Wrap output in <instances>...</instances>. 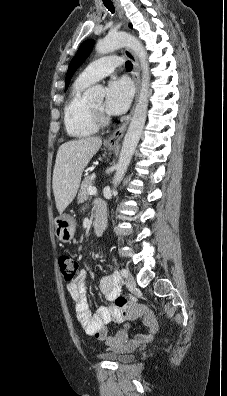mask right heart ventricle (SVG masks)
Wrapping results in <instances>:
<instances>
[{
	"mask_svg": "<svg viewBox=\"0 0 227 396\" xmlns=\"http://www.w3.org/2000/svg\"><path fill=\"white\" fill-rule=\"evenodd\" d=\"M90 85L78 78L73 84L64 106V125L69 136L83 138L97 132L99 125L94 119L90 104L83 92Z\"/></svg>",
	"mask_w": 227,
	"mask_h": 396,
	"instance_id": "e07e8e85",
	"label": "right heart ventricle"
}]
</instances>
